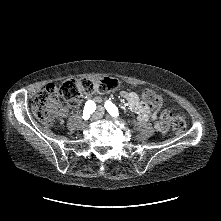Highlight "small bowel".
<instances>
[{"label":"small bowel","mask_w":221,"mask_h":221,"mask_svg":"<svg viewBox=\"0 0 221 221\" xmlns=\"http://www.w3.org/2000/svg\"><path fill=\"white\" fill-rule=\"evenodd\" d=\"M121 96L126 100L128 107L134 112H136L138 119L140 121L145 122L149 119L150 109L145 103L139 100V97L137 96L136 93L122 91ZM93 100L96 102L101 101L100 97H93ZM153 119H154L156 130L161 133H165L168 129L167 123L162 122L161 117H159L157 114H154Z\"/></svg>","instance_id":"c3829d8e"}]
</instances>
